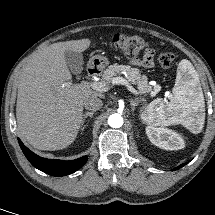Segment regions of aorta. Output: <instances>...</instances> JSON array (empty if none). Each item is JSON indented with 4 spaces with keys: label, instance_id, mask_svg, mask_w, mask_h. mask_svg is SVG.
Returning <instances> with one entry per match:
<instances>
[{
    "label": "aorta",
    "instance_id": "1",
    "mask_svg": "<svg viewBox=\"0 0 215 215\" xmlns=\"http://www.w3.org/2000/svg\"><path fill=\"white\" fill-rule=\"evenodd\" d=\"M108 124L112 128H119L123 125V118L119 114H112L108 118Z\"/></svg>",
    "mask_w": 215,
    "mask_h": 215
}]
</instances>
